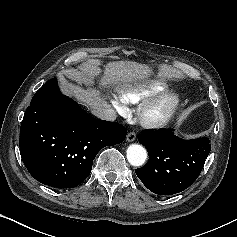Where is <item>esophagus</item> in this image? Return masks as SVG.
Instances as JSON below:
<instances>
[{
  "instance_id": "esophagus-1",
  "label": "esophagus",
  "mask_w": 237,
  "mask_h": 237,
  "mask_svg": "<svg viewBox=\"0 0 237 237\" xmlns=\"http://www.w3.org/2000/svg\"><path fill=\"white\" fill-rule=\"evenodd\" d=\"M135 139H136V133H135V132H129V133L127 134L126 140H127L128 142H133Z\"/></svg>"
}]
</instances>
